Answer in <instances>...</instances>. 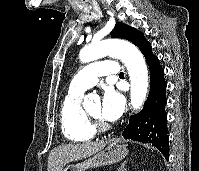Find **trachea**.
Segmentation results:
<instances>
[{
    "instance_id": "obj_1",
    "label": "trachea",
    "mask_w": 199,
    "mask_h": 171,
    "mask_svg": "<svg viewBox=\"0 0 199 171\" xmlns=\"http://www.w3.org/2000/svg\"><path fill=\"white\" fill-rule=\"evenodd\" d=\"M119 76H120V77H123V76H124V73H123V72H120Z\"/></svg>"
}]
</instances>
